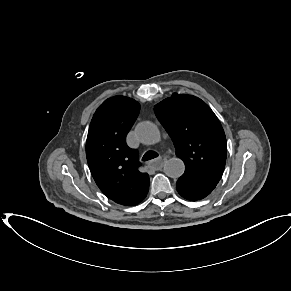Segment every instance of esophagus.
I'll return each mask as SVG.
<instances>
[{
    "label": "esophagus",
    "instance_id": "34e87169",
    "mask_svg": "<svg viewBox=\"0 0 291 291\" xmlns=\"http://www.w3.org/2000/svg\"><path fill=\"white\" fill-rule=\"evenodd\" d=\"M166 160H167L166 157L160 156L159 158L153 160L150 165L155 170H159V169H161L163 167V165L165 164Z\"/></svg>",
    "mask_w": 291,
    "mask_h": 291
}]
</instances>
